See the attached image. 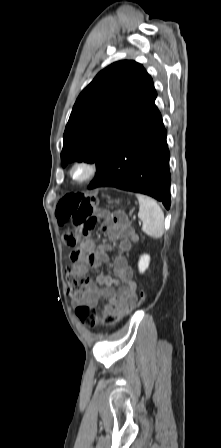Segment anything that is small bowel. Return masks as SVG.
<instances>
[{
	"instance_id": "c3829d8e",
	"label": "small bowel",
	"mask_w": 221,
	"mask_h": 448,
	"mask_svg": "<svg viewBox=\"0 0 221 448\" xmlns=\"http://www.w3.org/2000/svg\"><path fill=\"white\" fill-rule=\"evenodd\" d=\"M98 218L104 224L108 241L97 252H93L92 242L83 240L76 233L66 232L62 237L64 243L72 248L69 256L79 272L86 273L90 268L108 263V251L116 247L119 250L113 260L114 276H97L94 281L88 283L81 299L83 304L92 309H95L101 300H106L104 309L95 314L96 326H99L108 315L121 318L128 306L135 301L137 285L132 279V270L125 254L139 240L138 234L129 224L114 222L107 211L101 212Z\"/></svg>"
}]
</instances>
